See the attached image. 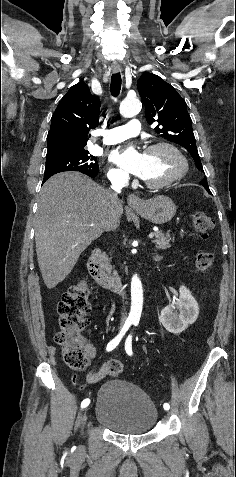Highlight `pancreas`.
Returning <instances> with one entry per match:
<instances>
[{
	"label": "pancreas",
	"instance_id": "pancreas-1",
	"mask_svg": "<svg viewBox=\"0 0 236 477\" xmlns=\"http://www.w3.org/2000/svg\"><path fill=\"white\" fill-rule=\"evenodd\" d=\"M155 239L153 240V243L156 244V247L158 249L165 250L170 247V240L174 241V238H171L169 234H164L162 231H157L154 233ZM104 263L103 266L105 270L110 273L112 270V266L109 263V260L107 257H104Z\"/></svg>",
	"mask_w": 236,
	"mask_h": 477
}]
</instances>
